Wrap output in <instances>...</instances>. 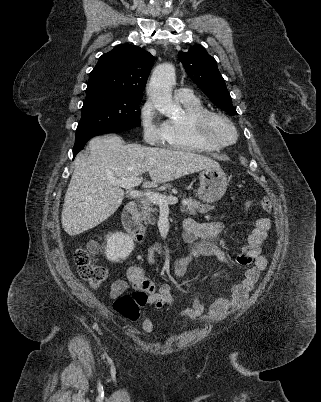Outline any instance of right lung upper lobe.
Returning a JSON list of instances; mask_svg holds the SVG:
<instances>
[{
	"label": "right lung upper lobe",
	"mask_w": 321,
	"mask_h": 402,
	"mask_svg": "<svg viewBox=\"0 0 321 402\" xmlns=\"http://www.w3.org/2000/svg\"><path fill=\"white\" fill-rule=\"evenodd\" d=\"M154 57L144 49L122 44L103 54L90 73L86 90H104L142 98Z\"/></svg>",
	"instance_id": "cb5924a9"
}]
</instances>
